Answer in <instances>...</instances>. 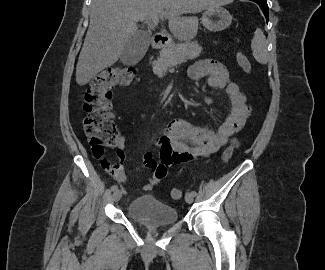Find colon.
<instances>
[{
    "mask_svg": "<svg viewBox=\"0 0 325 270\" xmlns=\"http://www.w3.org/2000/svg\"><path fill=\"white\" fill-rule=\"evenodd\" d=\"M237 62L242 70L250 74L252 71L249 59L241 52L236 55ZM135 76L134 68L111 67L97 74L89 83L85 95L83 109L87 113L84 119V130L88 137L91 151L95 158L99 159L105 168H115L103 158L104 149L115 143L118 132L111 112L112 88L116 85H129ZM238 146L234 139L225 149L222 155L224 161H228ZM172 199L182 197L181 190L173 188L170 191Z\"/></svg>",
    "mask_w": 325,
    "mask_h": 270,
    "instance_id": "1",
    "label": "colon"
}]
</instances>
